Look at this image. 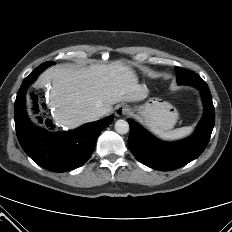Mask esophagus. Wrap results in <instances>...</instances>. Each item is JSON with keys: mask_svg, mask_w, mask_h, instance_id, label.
<instances>
[{"mask_svg": "<svg viewBox=\"0 0 232 232\" xmlns=\"http://www.w3.org/2000/svg\"><path fill=\"white\" fill-rule=\"evenodd\" d=\"M130 108L127 105H118L116 107V111H115V115L116 116H123V115H127L130 113Z\"/></svg>", "mask_w": 232, "mask_h": 232, "instance_id": "34e87169", "label": "esophagus"}]
</instances>
